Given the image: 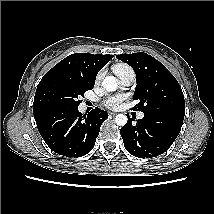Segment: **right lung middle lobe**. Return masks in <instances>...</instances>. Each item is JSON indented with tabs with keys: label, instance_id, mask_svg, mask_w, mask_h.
<instances>
[{
	"label": "right lung middle lobe",
	"instance_id": "1",
	"mask_svg": "<svg viewBox=\"0 0 214 214\" xmlns=\"http://www.w3.org/2000/svg\"><path fill=\"white\" fill-rule=\"evenodd\" d=\"M93 84L61 76L46 79L37 87L34 108L46 113L56 109L77 108L80 104L79 96L93 89Z\"/></svg>",
	"mask_w": 214,
	"mask_h": 214
}]
</instances>
